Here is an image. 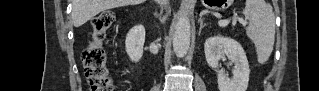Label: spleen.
Listing matches in <instances>:
<instances>
[{"instance_id":"obj_1","label":"spleen","mask_w":319,"mask_h":91,"mask_svg":"<svg viewBox=\"0 0 319 91\" xmlns=\"http://www.w3.org/2000/svg\"><path fill=\"white\" fill-rule=\"evenodd\" d=\"M243 14L249 21L246 34L255 45L259 64L268 61L275 42V15L264 0H247Z\"/></svg>"}]
</instances>
